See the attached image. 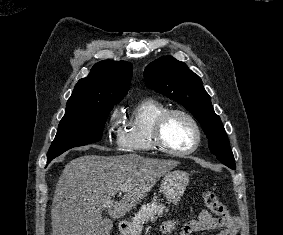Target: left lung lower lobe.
Instances as JSON below:
<instances>
[{
	"mask_svg": "<svg viewBox=\"0 0 283 235\" xmlns=\"http://www.w3.org/2000/svg\"><path fill=\"white\" fill-rule=\"evenodd\" d=\"M217 159L231 169H236L234 157L217 156Z\"/></svg>",
	"mask_w": 283,
	"mask_h": 235,
	"instance_id": "0a47b994",
	"label": "left lung lower lobe"
}]
</instances>
